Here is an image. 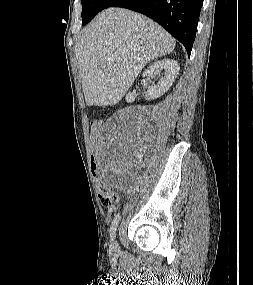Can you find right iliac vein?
I'll return each mask as SVG.
<instances>
[{
	"label": "right iliac vein",
	"instance_id": "right-iliac-vein-1",
	"mask_svg": "<svg viewBox=\"0 0 253 285\" xmlns=\"http://www.w3.org/2000/svg\"><path fill=\"white\" fill-rule=\"evenodd\" d=\"M110 252L115 254L118 252V244L115 240H112V242L110 243Z\"/></svg>",
	"mask_w": 253,
	"mask_h": 285
}]
</instances>
